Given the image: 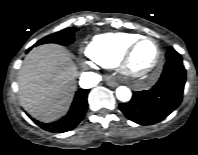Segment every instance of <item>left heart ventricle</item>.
<instances>
[{"instance_id":"b2bd125f","label":"left heart ventricle","mask_w":198,"mask_h":155,"mask_svg":"<svg viewBox=\"0 0 198 155\" xmlns=\"http://www.w3.org/2000/svg\"><path fill=\"white\" fill-rule=\"evenodd\" d=\"M156 57L157 47L155 43L152 41H143L133 53L131 68L138 73H144L152 67Z\"/></svg>"}]
</instances>
